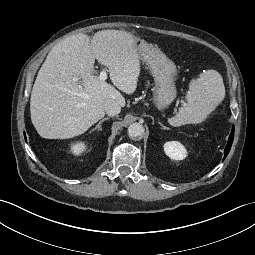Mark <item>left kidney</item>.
Segmentation results:
<instances>
[{
  "label": "left kidney",
  "instance_id": "5707ae66",
  "mask_svg": "<svg viewBox=\"0 0 255 255\" xmlns=\"http://www.w3.org/2000/svg\"><path fill=\"white\" fill-rule=\"evenodd\" d=\"M164 151L167 156L174 160H183L187 156L185 147L177 141L166 142Z\"/></svg>",
  "mask_w": 255,
  "mask_h": 255
}]
</instances>
